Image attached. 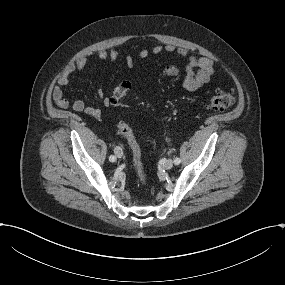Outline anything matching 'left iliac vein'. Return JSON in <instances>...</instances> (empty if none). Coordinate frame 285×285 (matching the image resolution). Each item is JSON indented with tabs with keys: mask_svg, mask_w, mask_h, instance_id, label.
Segmentation results:
<instances>
[{
	"mask_svg": "<svg viewBox=\"0 0 285 285\" xmlns=\"http://www.w3.org/2000/svg\"><path fill=\"white\" fill-rule=\"evenodd\" d=\"M172 167H173V161L171 159L166 160L163 165V168L169 170Z\"/></svg>",
	"mask_w": 285,
	"mask_h": 285,
	"instance_id": "4c4485c4",
	"label": "left iliac vein"
}]
</instances>
